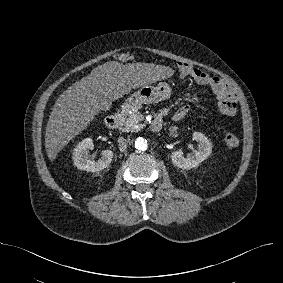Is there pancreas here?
Listing matches in <instances>:
<instances>
[{
	"label": "pancreas",
	"instance_id": "1",
	"mask_svg": "<svg viewBox=\"0 0 283 283\" xmlns=\"http://www.w3.org/2000/svg\"><path fill=\"white\" fill-rule=\"evenodd\" d=\"M143 115L139 113L138 108L134 109L125 119L121 130L123 132H135L140 130L139 123L143 120Z\"/></svg>",
	"mask_w": 283,
	"mask_h": 283
}]
</instances>
